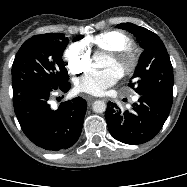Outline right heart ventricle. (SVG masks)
I'll return each instance as SVG.
<instances>
[{
    "label": "right heart ventricle",
    "instance_id": "obj_1",
    "mask_svg": "<svg viewBox=\"0 0 187 187\" xmlns=\"http://www.w3.org/2000/svg\"><path fill=\"white\" fill-rule=\"evenodd\" d=\"M90 43L105 51L131 48L132 39L123 32L112 30L100 33L89 40Z\"/></svg>",
    "mask_w": 187,
    "mask_h": 187
}]
</instances>
